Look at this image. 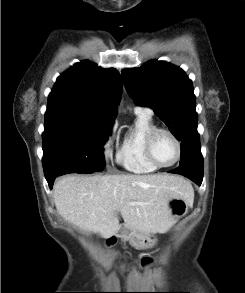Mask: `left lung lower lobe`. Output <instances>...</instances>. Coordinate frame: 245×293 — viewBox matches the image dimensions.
Returning <instances> with one entry per match:
<instances>
[{"label":"left lung lower lobe","mask_w":245,"mask_h":293,"mask_svg":"<svg viewBox=\"0 0 245 293\" xmlns=\"http://www.w3.org/2000/svg\"><path fill=\"white\" fill-rule=\"evenodd\" d=\"M170 173L180 174L185 177H188L189 179L194 181L198 186L201 185L203 179V170L189 166H179L178 168L170 171Z\"/></svg>","instance_id":"obj_1"}]
</instances>
